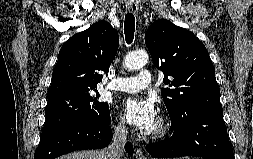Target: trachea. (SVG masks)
Here are the masks:
<instances>
[{
  "label": "trachea",
  "mask_w": 253,
  "mask_h": 159,
  "mask_svg": "<svg viewBox=\"0 0 253 159\" xmlns=\"http://www.w3.org/2000/svg\"><path fill=\"white\" fill-rule=\"evenodd\" d=\"M135 32V17L132 13H127L124 22L125 40L128 44L132 43Z\"/></svg>",
  "instance_id": "3493384b"
}]
</instances>
